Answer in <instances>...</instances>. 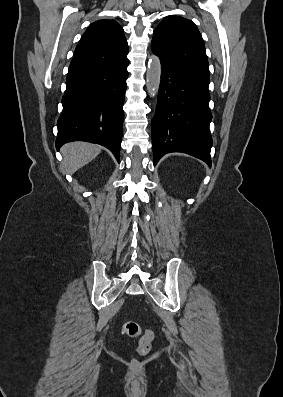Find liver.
Wrapping results in <instances>:
<instances>
[{"instance_id":"obj_1","label":"liver","mask_w":283,"mask_h":397,"mask_svg":"<svg viewBox=\"0 0 283 397\" xmlns=\"http://www.w3.org/2000/svg\"><path fill=\"white\" fill-rule=\"evenodd\" d=\"M101 152V147L88 142H71L61 148L62 167L67 174H73Z\"/></svg>"}]
</instances>
